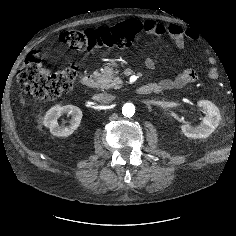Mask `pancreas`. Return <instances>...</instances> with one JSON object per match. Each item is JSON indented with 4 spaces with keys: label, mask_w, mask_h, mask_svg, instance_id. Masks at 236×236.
I'll use <instances>...</instances> for the list:
<instances>
[{
    "label": "pancreas",
    "mask_w": 236,
    "mask_h": 236,
    "mask_svg": "<svg viewBox=\"0 0 236 236\" xmlns=\"http://www.w3.org/2000/svg\"><path fill=\"white\" fill-rule=\"evenodd\" d=\"M118 70L105 67L101 73L96 74L98 86L104 89H119L122 86V80L118 77Z\"/></svg>",
    "instance_id": "1"
}]
</instances>
